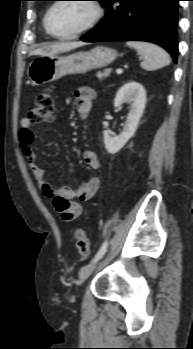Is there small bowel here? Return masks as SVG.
Segmentation results:
<instances>
[{"mask_svg": "<svg viewBox=\"0 0 193 349\" xmlns=\"http://www.w3.org/2000/svg\"><path fill=\"white\" fill-rule=\"evenodd\" d=\"M77 112L82 118H86L95 98V91L91 87H80L75 91ZM34 133L31 129V122L25 118L21 122L19 131L20 148L28 161L32 175L37 181L43 193L53 201L55 209L64 221H73L82 213L80 202L92 199L100 188V179L92 177L81 185L73 189L67 185L54 186L45 177V170L40 165L37 156L33 150ZM85 164L92 170H97L100 166L96 153L86 149L83 153Z\"/></svg>", "mask_w": 193, "mask_h": 349, "instance_id": "small-bowel-1", "label": "small bowel"}]
</instances>
